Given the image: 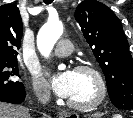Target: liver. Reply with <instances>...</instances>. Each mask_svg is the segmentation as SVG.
<instances>
[{"label":"liver","mask_w":133,"mask_h":118,"mask_svg":"<svg viewBox=\"0 0 133 118\" xmlns=\"http://www.w3.org/2000/svg\"><path fill=\"white\" fill-rule=\"evenodd\" d=\"M0 118H30V114L23 106L0 102Z\"/></svg>","instance_id":"liver-1"}]
</instances>
